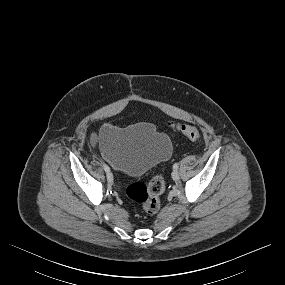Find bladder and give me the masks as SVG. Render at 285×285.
Segmentation results:
<instances>
[{
	"label": "bladder",
	"mask_w": 285,
	"mask_h": 285,
	"mask_svg": "<svg viewBox=\"0 0 285 285\" xmlns=\"http://www.w3.org/2000/svg\"><path fill=\"white\" fill-rule=\"evenodd\" d=\"M101 153L125 175L137 176L168 159L172 141L148 122L128 127L105 125L99 131Z\"/></svg>",
	"instance_id": "31cf9c89"
}]
</instances>
